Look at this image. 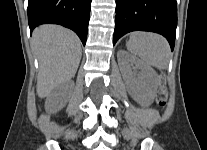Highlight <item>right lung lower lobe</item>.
I'll list each match as a JSON object with an SVG mask.
<instances>
[{"label": "right lung lower lobe", "instance_id": "obj_1", "mask_svg": "<svg viewBox=\"0 0 207 150\" xmlns=\"http://www.w3.org/2000/svg\"><path fill=\"white\" fill-rule=\"evenodd\" d=\"M91 0H28L30 31L45 23L72 29L83 45L87 40Z\"/></svg>", "mask_w": 207, "mask_h": 150}]
</instances>
